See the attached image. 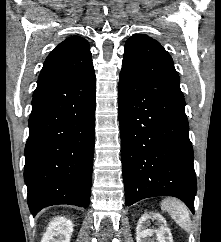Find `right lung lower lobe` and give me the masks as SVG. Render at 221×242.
<instances>
[{"mask_svg":"<svg viewBox=\"0 0 221 242\" xmlns=\"http://www.w3.org/2000/svg\"><path fill=\"white\" fill-rule=\"evenodd\" d=\"M94 130V71L69 87L33 96L24 170L33 216L51 205L87 208Z\"/></svg>","mask_w":221,"mask_h":242,"instance_id":"1","label":"right lung lower lobe"}]
</instances>
